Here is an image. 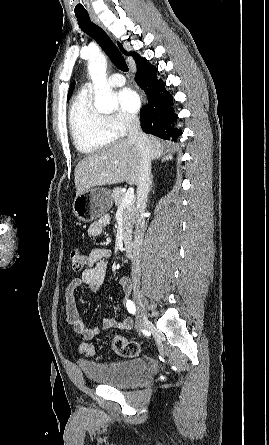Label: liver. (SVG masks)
Instances as JSON below:
<instances>
[{"label": "liver", "mask_w": 269, "mask_h": 445, "mask_svg": "<svg viewBox=\"0 0 269 445\" xmlns=\"http://www.w3.org/2000/svg\"><path fill=\"white\" fill-rule=\"evenodd\" d=\"M151 159L163 154L165 145L154 136H146ZM172 156L166 157L171 159ZM140 152L135 142L121 139L101 148L98 152L80 161L74 172L76 196L93 187L117 184L126 181L138 184L140 178Z\"/></svg>", "instance_id": "1"}]
</instances>
